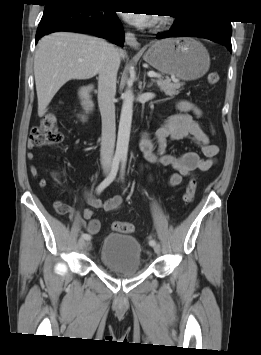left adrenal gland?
Masks as SVG:
<instances>
[{
    "instance_id": "1",
    "label": "left adrenal gland",
    "mask_w": 261,
    "mask_h": 355,
    "mask_svg": "<svg viewBox=\"0 0 261 355\" xmlns=\"http://www.w3.org/2000/svg\"><path fill=\"white\" fill-rule=\"evenodd\" d=\"M145 86H146V82H145V77H144V79H143V89L145 88ZM151 86H152V83L148 84L147 88L149 89Z\"/></svg>"
}]
</instances>
